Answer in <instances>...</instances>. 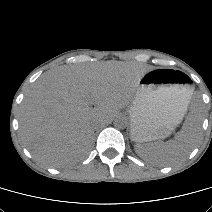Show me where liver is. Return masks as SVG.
I'll use <instances>...</instances> for the list:
<instances>
[{
	"label": "liver",
	"instance_id": "1",
	"mask_svg": "<svg viewBox=\"0 0 212 212\" xmlns=\"http://www.w3.org/2000/svg\"><path fill=\"white\" fill-rule=\"evenodd\" d=\"M148 71L133 62L106 61L45 73L20 108L23 144L38 162L51 167L84 158L92 147L94 127L129 105Z\"/></svg>",
	"mask_w": 212,
	"mask_h": 212
}]
</instances>
